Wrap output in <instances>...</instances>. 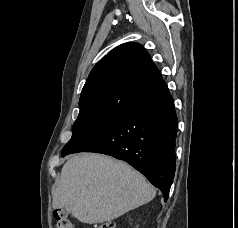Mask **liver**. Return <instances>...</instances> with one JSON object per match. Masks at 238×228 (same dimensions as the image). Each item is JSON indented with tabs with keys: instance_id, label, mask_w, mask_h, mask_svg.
Listing matches in <instances>:
<instances>
[{
	"instance_id": "6515ba94",
	"label": "liver",
	"mask_w": 238,
	"mask_h": 228,
	"mask_svg": "<svg viewBox=\"0 0 238 228\" xmlns=\"http://www.w3.org/2000/svg\"><path fill=\"white\" fill-rule=\"evenodd\" d=\"M155 195L145 177L127 163L86 153L63 165L53 191V208L68 209L82 223H103L150 202Z\"/></svg>"
}]
</instances>
